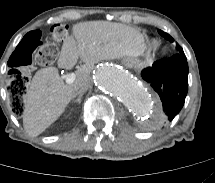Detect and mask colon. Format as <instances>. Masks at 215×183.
<instances>
[{
  "mask_svg": "<svg viewBox=\"0 0 215 183\" xmlns=\"http://www.w3.org/2000/svg\"><path fill=\"white\" fill-rule=\"evenodd\" d=\"M68 34L63 23L49 27H36L18 41L9 59L8 90L12 110L20 114L24 110V96L28 87L25 72L32 62L38 66L50 65L57 56V47L52 44L54 38L64 40Z\"/></svg>",
  "mask_w": 215,
  "mask_h": 183,
  "instance_id": "colon-1",
  "label": "colon"
}]
</instances>
